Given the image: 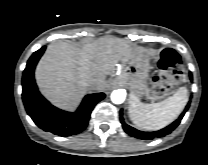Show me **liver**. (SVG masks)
Listing matches in <instances>:
<instances>
[{"label":"liver","instance_id":"liver-1","mask_svg":"<svg viewBox=\"0 0 208 165\" xmlns=\"http://www.w3.org/2000/svg\"><path fill=\"white\" fill-rule=\"evenodd\" d=\"M136 52L128 42L115 37H102L82 46L57 41L48 46L39 61L36 81L53 104L69 108L89 90V84H95L96 90H105L106 76L118 62H128Z\"/></svg>","mask_w":208,"mask_h":165}]
</instances>
